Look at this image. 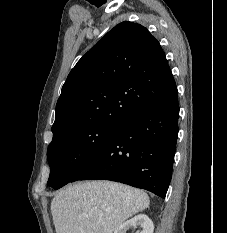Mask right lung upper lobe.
<instances>
[{"mask_svg":"<svg viewBox=\"0 0 227 233\" xmlns=\"http://www.w3.org/2000/svg\"><path fill=\"white\" fill-rule=\"evenodd\" d=\"M175 86L158 40L140 24L122 22L69 73L56 105L53 137L83 125H120Z\"/></svg>","mask_w":227,"mask_h":233,"instance_id":"obj_1","label":"right lung upper lobe"}]
</instances>
